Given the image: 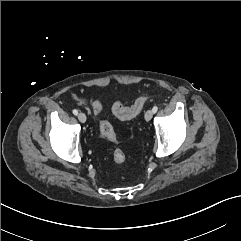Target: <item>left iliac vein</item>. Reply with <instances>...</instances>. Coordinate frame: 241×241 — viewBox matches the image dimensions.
<instances>
[{"label":"left iliac vein","mask_w":241,"mask_h":241,"mask_svg":"<svg viewBox=\"0 0 241 241\" xmlns=\"http://www.w3.org/2000/svg\"><path fill=\"white\" fill-rule=\"evenodd\" d=\"M152 117H153V111L150 110V109L147 110L146 113H145V120H146V121H149V120L152 119Z\"/></svg>","instance_id":"left-iliac-vein-1"}]
</instances>
